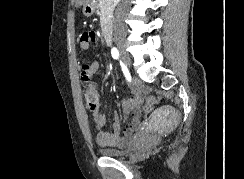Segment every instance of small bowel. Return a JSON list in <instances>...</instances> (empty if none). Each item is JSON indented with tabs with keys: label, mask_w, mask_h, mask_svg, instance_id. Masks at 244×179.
<instances>
[{
	"label": "small bowel",
	"mask_w": 244,
	"mask_h": 179,
	"mask_svg": "<svg viewBox=\"0 0 244 179\" xmlns=\"http://www.w3.org/2000/svg\"><path fill=\"white\" fill-rule=\"evenodd\" d=\"M98 41V35L94 31H84L79 37V47L83 51H87L90 48L91 43H96ZM100 69V62L98 60H92L89 62H84L82 64L81 79L86 82L90 79ZM139 96L136 95L133 99L127 100L125 102V116L124 119L127 120V115L129 113L133 114L130 120L129 126L120 130V118L115 115L109 131H100L96 135V143L102 147H119L123 146L131 133L140 125V113L141 108L139 105ZM93 118L95 125L98 129H101L106 122L105 116L98 110L93 111Z\"/></svg>",
	"instance_id": "obj_1"
}]
</instances>
